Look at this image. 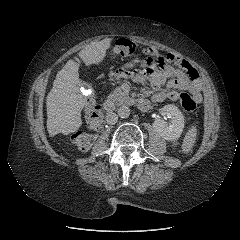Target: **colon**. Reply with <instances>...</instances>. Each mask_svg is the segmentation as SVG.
Returning a JSON list of instances; mask_svg holds the SVG:
<instances>
[{
  "mask_svg": "<svg viewBox=\"0 0 240 240\" xmlns=\"http://www.w3.org/2000/svg\"><path fill=\"white\" fill-rule=\"evenodd\" d=\"M137 45L134 41L126 38L117 40L113 46V53L119 56H129L136 51ZM177 100L186 112H193L196 109V100L187 93H179ZM86 118L91 131H76L71 135V140L80 151H87L92 146L95 133L99 130L102 121L101 107L92 103L85 111Z\"/></svg>",
  "mask_w": 240,
  "mask_h": 240,
  "instance_id": "1",
  "label": "colon"
}]
</instances>
